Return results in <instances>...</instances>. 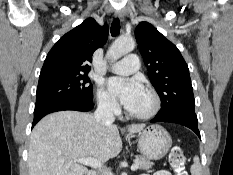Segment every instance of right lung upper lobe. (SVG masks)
I'll return each mask as SVG.
<instances>
[{"label": "right lung upper lobe", "instance_id": "obj_1", "mask_svg": "<svg viewBox=\"0 0 233 175\" xmlns=\"http://www.w3.org/2000/svg\"><path fill=\"white\" fill-rule=\"evenodd\" d=\"M107 37V25L100 26L93 18L86 19L62 36L52 47L45 59L40 77L88 73L94 51L106 43Z\"/></svg>", "mask_w": 233, "mask_h": 175}]
</instances>
